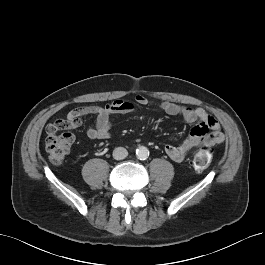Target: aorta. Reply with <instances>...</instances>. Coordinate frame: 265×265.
Returning <instances> with one entry per match:
<instances>
[{
  "label": "aorta",
  "instance_id": "aorta-1",
  "mask_svg": "<svg viewBox=\"0 0 265 265\" xmlns=\"http://www.w3.org/2000/svg\"><path fill=\"white\" fill-rule=\"evenodd\" d=\"M137 158L140 160H146L149 156V150L145 146H140L136 149Z\"/></svg>",
  "mask_w": 265,
  "mask_h": 265
}]
</instances>
